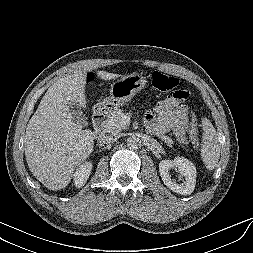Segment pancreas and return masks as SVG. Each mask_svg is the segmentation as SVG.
I'll return each mask as SVG.
<instances>
[{"label": "pancreas", "mask_w": 253, "mask_h": 253, "mask_svg": "<svg viewBox=\"0 0 253 253\" xmlns=\"http://www.w3.org/2000/svg\"><path fill=\"white\" fill-rule=\"evenodd\" d=\"M126 114L121 109H116L111 113V116L105 123V132L117 135L119 132L126 128V124L122 122V118ZM161 140L164 141L169 147L172 146L174 141L169 136H162Z\"/></svg>", "instance_id": "obj_1"}]
</instances>
